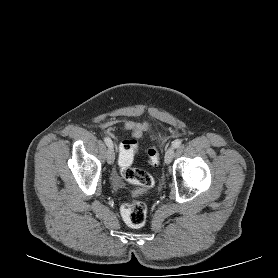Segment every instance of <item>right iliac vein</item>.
<instances>
[{
    "label": "right iliac vein",
    "mask_w": 278,
    "mask_h": 278,
    "mask_svg": "<svg viewBox=\"0 0 278 278\" xmlns=\"http://www.w3.org/2000/svg\"><path fill=\"white\" fill-rule=\"evenodd\" d=\"M115 160V151L113 147H109L107 151V162L109 164H112Z\"/></svg>",
    "instance_id": "obj_1"
}]
</instances>
